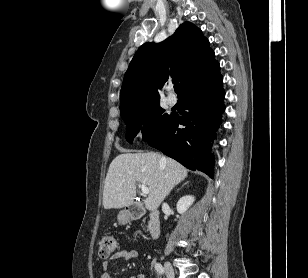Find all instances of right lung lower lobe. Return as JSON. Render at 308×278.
<instances>
[{
  "instance_id": "right-lung-lower-lobe-1",
  "label": "right lung lower lobe",
  "mask_w": 308,
  "mask_h": 278,
  "mask_svg": "<svg viewBox=\"0 0 308 278\" xmlns=\"http://www.w3.org/2000/svg\"><path fill=\"white\" fill-rule=\"evenodd\" d=\"M220 72L183 94L182 116L173 114L168 125L148 143L191 170L213 177L214 160L210 140L216 137L221 114L225 110ZM184 125V129L178 125Z\"/></svg>"
}]
</instances>
